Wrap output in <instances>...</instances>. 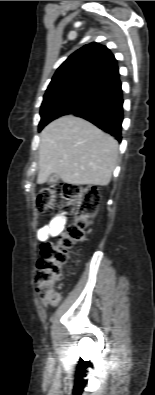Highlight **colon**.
<instances>
[{
	"instance_id": "obj_1",
	"label": "colon",
	"mask_w": 155,
	"mask_h": 395,
	"mask_svg": "<svg viewBox=\"0 0 155 395\" xmlns=\"http://www.w3.org/2000/svg\"><path fill=\"white\" fill-rule=\"evenodd\" d=\"M99 200V191L94 186L55 183L40 189L35 203L39 213L65 204L74 214L73 222L60 233L56 242H45L41 246L35 272L36 293L41 302L50 305L59 302L55 286L63 279L70 251L86 240Z\"/></svg>"
}]
</instances>
